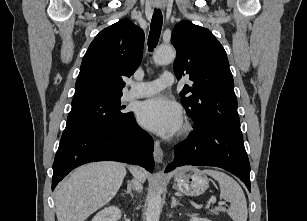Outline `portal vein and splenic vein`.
Returning a JSON list of instances; mask_svg holds the SVG:
<instances>
[{
  "label": "portal vein and splenic vein",
  "instance_id": "obj_1",
  "mask_svg": "<svg viewBox=\"0 0 307 221\" xmlns=\"http://www.w3.org/2000/svg\"><path fill=\"white\" fill-rule=\"evenodd\" d=\"M218 204H219L220 206H222V205H225V202L220 201Z\"/></svg>",
  "mask_w": 307,
  "mask_h": 221
}]
</instances>
